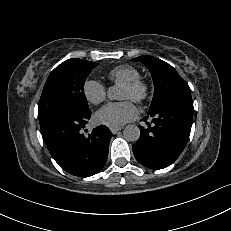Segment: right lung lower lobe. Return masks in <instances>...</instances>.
Masks as SVG:
<instances>
[{"instance_id": "obj_1", "label": "right lung lower lobe", "mask_w": 231, "mask_h": 231, "mask_svg": "<svg viewBox=\"0 0 231 231\" xmlns=\"http://www.w3.org/2000/svg\"><path fill=\"white\" fill-rule=\"evenodd\" d=\"M91 111L62 112L40 123L46 146L55 161L68 173L89 177L98 173L108 157L112 134L105 125L97 126L89 137L82 129Z\"/></svg>"}]
</instances>
